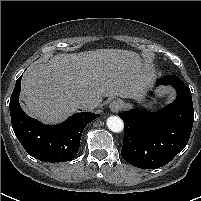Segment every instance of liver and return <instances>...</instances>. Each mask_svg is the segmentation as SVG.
Returning <instances> with one entry per match:
<instances>
[{
	"label": "liver",
	"mask_w": 201,
	"mask_h": 201,
	"mask_svg": "<svg viewBox=\"0 0 201 201\" xmlns=\"http://www.w3.org/2000/svg\"><path fill=\"white\" fill-rule=\"evenodd\" d=\"M150 75L140 56L124 49L58 54L28 69L21 100L26 113L58 123L76 112V101L103 97L140 98Z\"/></svg>",
	"instance_id": "6515ba94"
}]
</instances>
